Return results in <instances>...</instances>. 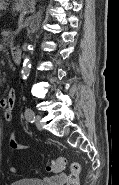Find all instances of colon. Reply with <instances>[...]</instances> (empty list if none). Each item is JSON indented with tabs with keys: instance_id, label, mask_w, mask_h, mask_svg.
I'll use <instances>...</instances> for the list:
<instances>
[{
	"instance_id": "obj_1",
	"label": "colon",
	"mask_w": 119,
	"mask_h": 185,
	"mask_svg": "<svg viewBox=\"0 0 119 185\" xmlns=\"http://www.w3.org/2000/svg\"><path fill=\"white\" fill-rule=\"evenodd\" d=\"M68 161L64 156H60L50 164L47 165V170L50 172H61L66 167ZM81 171V166L78 162H72L70 164V173L66 180V185H79V175Z\"/></svg>"
}]
</instances>
